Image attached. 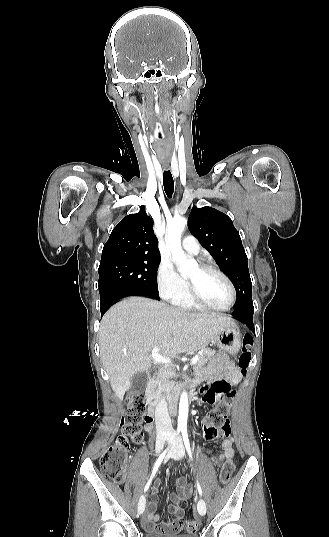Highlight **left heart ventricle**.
<instances>
[{
	"label": "left heart ventricle",
	"mask_w": 329,
	"mask_h": 537,
	"mask_svg": "<svg viewBox=\"0 0 329 537\" xmlns=\"http://www.w3.org/2000/svg\"><path fill=\"white\" fill-rule=\"evenodd\" d=\"M186 277L199 297L208 304L223 308L230 303V289L216 273L204 271L198 265H194Z\"/></svg>",
	"instance_id": "left-heart-ventricle-1"
}]
</instances>
